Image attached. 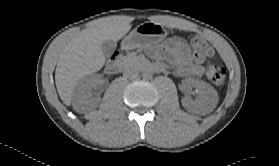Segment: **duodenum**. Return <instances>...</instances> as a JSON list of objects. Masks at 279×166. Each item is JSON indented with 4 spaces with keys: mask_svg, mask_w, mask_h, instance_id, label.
<instances>
[{
    "mask_svg": "<svg viewBox=\"0 0 279 166\" xmlns=\"http://www.w3.org/2000/svg\"><path fill=\"white\" fill-rule=\"evenodd\" d=\"M141 66L145 70H152V71H157L161 68V66L158 64L145 63V64H142ZM123 67H124V61L122 58L118 57L107 67V71L110 74H116V73L121 72Z\"/></svg>",
    "mask_w": 279,
    "mask_h": 166,
    "instance_id": "duodenum-1",
    "label": "duodenum"
}]
</instances>
